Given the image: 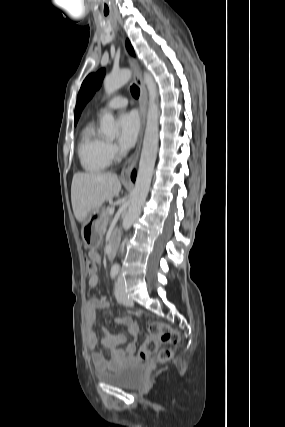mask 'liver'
<instances>
[{
    "mask_svg": "<svg viewBox=\"0 0 285 427\" xmlns=\"http://www.w3.org/2000/svg\"><path fill=\"white\" fill-rule=\"evenodd\" d=\"M121 183L112 173H76L72 179L71 202L74 215L79 222L104 202L112 200L119 194Z\"/></svg>",
    "mask_w": 285,
    "mask_h": 427,
    "instance_id": "liver-1",
    "label": "liver"
}]
</instances>
